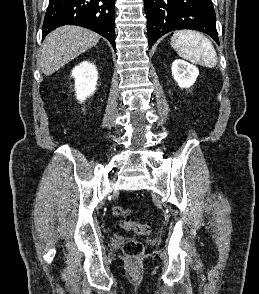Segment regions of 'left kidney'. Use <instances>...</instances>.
<instances>
[{
	"mask_svg": "<svg viewBox=\"0 0 259 294\" xmlns=\"http://www.w3.org/2000/svg\"><path fill=\"white\" fill-rule=\"evenodd\" d=\"M171 70L175 81L181 88L192 86L199 75V71L194 65L181 59H176L172 63Z\"/></svg>",
	"mask_w": 259,
	"mask_h": 294,
	"instance_id": "1",
	"label": "left kidney"
}]
</instances>
